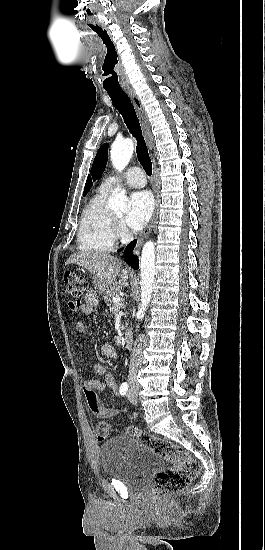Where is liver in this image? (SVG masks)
Here are the masks:
<instances>
[{"instance_id":"obj_1","label":"liver","mask_w":265,"mask_h":550,"mask_svg":"<svg viewBox=\"0 0 265 550\" xmlns=\"http://www.w3.org/2000/svg\"><path fill=\"white\" fill-rule=\"evenodd\" d=\"M75 263L93 273L97 279L98 287H110L117 275L120 274L119 285L128 286V271L122 268V263L116 257L102 253H78L71 255L66 265Z\"/></svg>"}]
</instances>
